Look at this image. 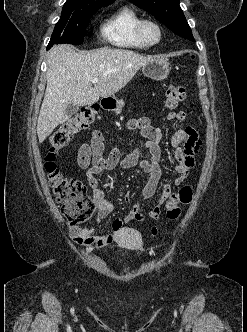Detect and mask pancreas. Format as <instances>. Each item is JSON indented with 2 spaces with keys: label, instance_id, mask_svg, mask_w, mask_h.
Returning <instances> with one entry per match:
<instances>
[{
  "label": "pancreas",
  "instance_id": "1",
  "mask_svg": "<svg viewBox=\"0 0 247 332\" xmlns=\"http://www.w3.org/2000/svg\"><path fill=\"white\" fill-rule=\"evenodd\" d=\"M123 106H124V102L122 100L118 101V105H117V108H116V113H120Z\"/></svg>",
  "mask_w": 247,
  "mask_h": 332
}]
</instances>
